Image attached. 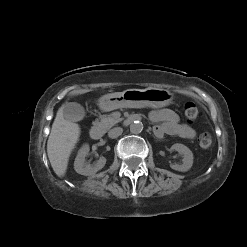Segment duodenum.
I'll use <instances>...</instances> for the list:
<instances>
[{
  "instance_id": "1",
  "label": "duodenum",
  "mask_w": 247,
  "mask_h": 247,
  "mask_svg": "<svg viewBox=\"0 0 247 247\" xmlns=\"http://www.w3.org/2000/svg\"><path fill=\"white\" fill-rule=\"evenodd\" d=\"M131 122V119L126 120V124H130ZM89 134L93 140H100L104 134V130L101 126L94 125L91 127Z\"/></svg>"
}]
</instances>
